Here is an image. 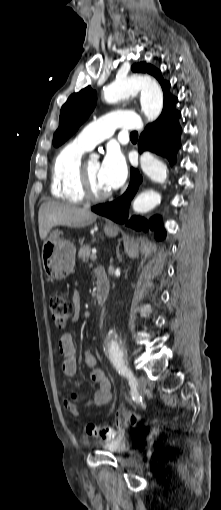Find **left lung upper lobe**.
<instances>
[{"label": "left lung upper lobe", "instance_id": "5c2ea615", "mask_svg": "<svg viewBox=\"0 0 221 510\" xmlns=\"http://www.w3.org/2000/svg\"><path fill=\"white\" fill-rule=\"evenodd\" d=\"M134 72L148 73L154 76L163 89L164 106L162 114L171 109H175L177 98L174 97L169 89L170 83L165 81L161 72L155 67L145 62L134 64L132 66ZM97 102V94L90 86L82 89L78 93L72 94L67 102L62 106L59 119V127L53 137V145L55 147L63 144L70 138L79 128V126L89 117ZM161 114V115H162Z\"/></svg>", "mask_w": 221, "mask_h": 510}]
</instances>
